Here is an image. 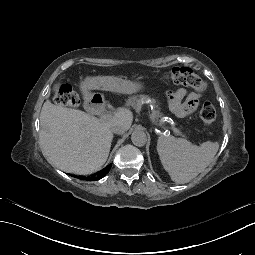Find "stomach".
<instances>
[{
	"label": "stomach",
	"instance_id": "0dacf381",
	"mask_svg": "<svg viewBox=\"0 0 255 255\" xmlns=\"http://www.w3.org/2000/svg\"><path fill=\"white\" fill-rule=\"evenodd\" d=\"M108 89L111 92H118L119 90L124 93V94H136V93H142L145 90H147L146 85L144 82H142L139 79H134V80H121L119 81L118 79H111L108 82ZM151 106L154 109H159L162 105L160 98L155 95L151 94Z\"/></svg>",
	"mask_w": 255,
	"mask_h": 255
}]
</instances>
